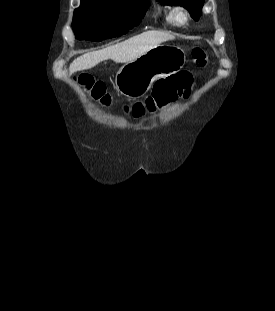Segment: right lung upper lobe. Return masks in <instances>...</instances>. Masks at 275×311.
Segmentation results:
<instances>
[{
	"mask_svg": "<svg viewBox=\"0 0 275 311\" xmlns=\"http://www.w3.org/2000/svg\"><path fill=\"white\" fill-rule=\"evenodd\" d=\"M90 1H120V0H81V3L83 4Z\"/></svg>",
	"mask_w": 275,
	"mask_h": 311,
	"instance_id": "cb5924a9",
	"label": "right lung upper lobe"
}]
</instances>
